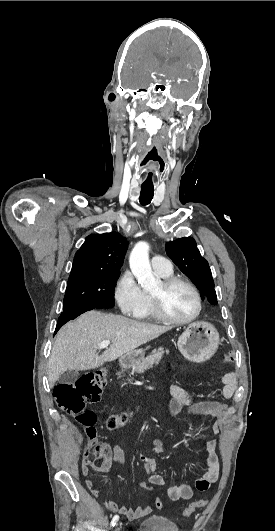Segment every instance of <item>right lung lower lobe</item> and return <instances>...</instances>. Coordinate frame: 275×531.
Instances as JSON below:
<instances>
[{"instance_id":"right-lung-lower-lobe-1","label":"right lung lower lobe","mask_w":275,"mask_h":531,"mask_svg":"<svg viewBox=\"0 0 275 531\" xmlns=\"http://www.w3.org/2000/svg\"><path fill=\"white\" fill-rule=\"evenodd\" d=\"M92 310L91 308H71V309H65L61 313L58 323L56 325L55 333L69 320L75 319L82 313ZM54 333V334H55Z\"/></svg>"}]
</instances>
